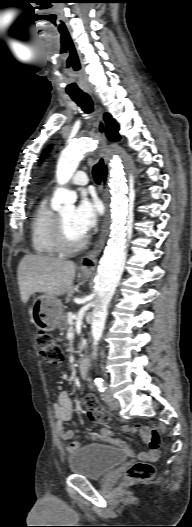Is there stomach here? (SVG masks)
<instances>
[{
    "label": "stomach",
    "mask_w": 192,
    "mask_h": 527,
    "mask_svg": "<svg viewBox=\"0 0 192 527\" xmlns=\"http://www.w3.org/2000/svg\"><path fill=\"white\" fill-rule=\"evenodd\" d=\"M85 277L90 273L84 272ZM63 314L62 303L56 297L41 295L37 297L31 307V320L34 325L42 331H53L59 324Z\"/></svg>",
    "instance_id": "obj_1"
}]
</instances>
